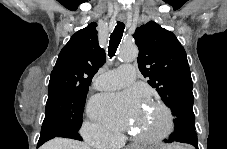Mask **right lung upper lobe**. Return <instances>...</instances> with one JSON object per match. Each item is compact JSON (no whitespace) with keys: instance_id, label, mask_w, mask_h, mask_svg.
<instances>
[{"instance_id":"obj_1","label":"right lung upper lobe","mask_w":227,"mask_h":149,"mask_svg":"<svg viewBox=\"0 0 227 149\" xmlns=\"http://www.w3.org/2000/svg\"><path fill=\"white\" fill-rule=\"evenodd\" d=\"M96 26L93 22L77 31L63 47L51 72L48 92L88 90L106 57L98 44Z\"/></svg>"}]
</instances>
